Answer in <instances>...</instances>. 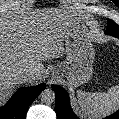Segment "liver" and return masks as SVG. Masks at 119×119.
Returning a JSON list of instances; mask_svg holds the SVG:
<instances>
[{"label":"liver","instance_id":"obj_1","mask_svg":"<svg viewBox=\"0 0 119 119\" xmlns=\"http://www.w3.org/2000/svg\"><path fill=\"white\" fill-rule=\"evenodd\" d=\"M63 16H59L60 21L66 20V27L45 35L47 37L41 34V24L29 18L7 16L0 19V103L19 85L40 81L45 70L42 62L64 56L70 34L67 28L73 23ZM24 69L35 70L25 82L21 77Z\"/></svg>","mask_w":119,"mask_h":119}]
</instances>
